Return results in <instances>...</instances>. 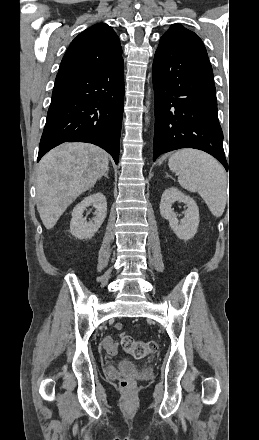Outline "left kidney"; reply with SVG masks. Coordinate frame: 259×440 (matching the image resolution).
Segmentation results:
<instances>
[{"instance_id":"1","label":"left kidney","mask_w":259,"mask_h":440,"mask_svg":"<svg viewBox=\"0 0 259 440\" xmlns=\"http://www.w3.org/2000/svg\"><path fill=\"white\" fill-rule=\"evenodd\" d=\"M184 203L187 206L185 217L179 220L172 209L174 202ZM160 214L169 221V225L178 238L189 240L197 233L199 225V209L196 202L188 195L175 187L166 189L161 197Z\"/></svg>"}]
</instances>
